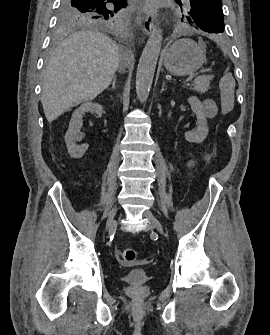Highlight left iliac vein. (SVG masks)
Instances as JSON below:
<instances>
[{"instance_id": "left-iliac-vein-1", "label": "left iliac vein", "mask_w": 270, "mask_h": 335, "mask_svg": "<svg viewBox=\"0 0 270 335\" xmlns=\"http://www.w3.org/2000/svg\"><path fill=\"white\" fill-rule=\"evenodd\" d=\"M144 216L150 221V223L156 228L160 234H164L163 226L161 222L153 215L151 211H145Z\"/></svg>"}]
</instances>
